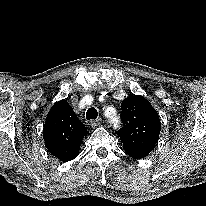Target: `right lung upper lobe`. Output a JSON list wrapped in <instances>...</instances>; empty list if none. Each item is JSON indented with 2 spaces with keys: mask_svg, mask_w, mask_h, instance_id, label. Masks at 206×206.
Segmentation results:
<instances>
[{
  "mask_svg": "<svg viewBox=\"0 0 206 206\" xmlns=\"http://www.w3.org/2000/svg\"><path fill=\"white\" fill-rule=\"evenodd\" d=\"M83 123L66 100L56 102L50 109L43 130L47 150L60 161L68 162L79 154L84 136Z\"/></svg>",
  "mask_w": 206,
  "mask_h": 206,
  "instance_id": "obj_1",
  "label": "right lung upper lobe"
}]
</instances>
